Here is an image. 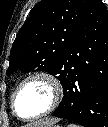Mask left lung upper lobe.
Segmentation results:
<instances>
[{
  "label": "left lung upper lobe",
  "instance_id": "left-lung-upper-lobe-1",
  "mask_svg": "<svg viewBox=\"0 0 108 127\" xmlns=\"http://www.w3.org/2000/svg\"><path fill=\"white\" fill-rule=\"evenodd\" d=\"M89 0H41L12 45L7 74L47 71L65 81L63 67Z\"/></svg>",
  "mask_w": 108,
  "mask_h": 127
}]
</instances>
